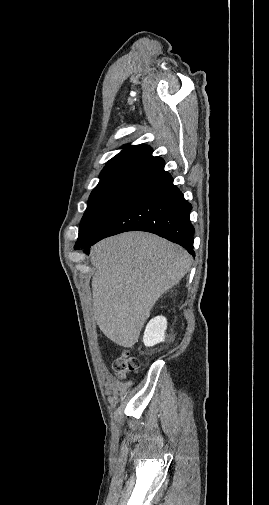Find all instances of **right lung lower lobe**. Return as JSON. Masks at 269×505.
I'll return each instance as SVG.
<instances>
[{
  "label": "right lung lower lobe",
  "instance_id": "98d812e1",
  "mask_svg": "<svg viewBox=\"0 0 269 505\" xmlns=\"http://www.w3.org/2000/svg\"><path fill=\"white\" fill-rule=\"evenodd\" d=\"M192 206L184 199L180 190L173 185V178L163 172L142 188L117 211L98 237L83 246L89 254L91 245L108 236L126 231H147L193 251L195 229L190 222Z\"/></svg>",
  "mask_w": 269,
  "mask_h": 505
}]
</instances>
